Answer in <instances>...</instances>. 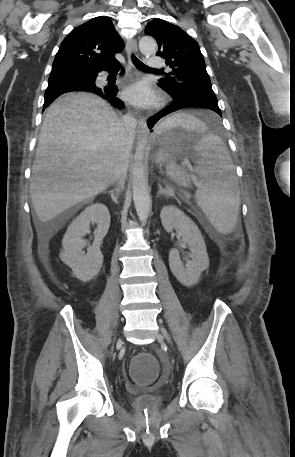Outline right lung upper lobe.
<instances>
[{
    "label": "right lung upper lobe",
    "mask_w": 295,
    "mask_h": 457,
    "mask_svg": "<svg viewBox=\"0 0 295 457\" xmlns=\"http://www.w3.org/2000/svg\"><path fill=\"white\" fill-rule=\"evenodd\" d=\"M124 43L110 19L99 16L73 29L62 41L49 79L89 77L116 61Z\"/></svg>",
    "instance_id": "cb5924a9"
}]
</instances>
